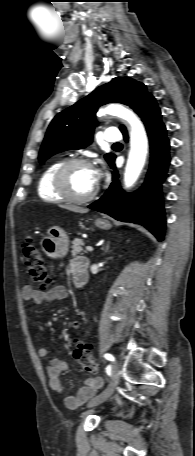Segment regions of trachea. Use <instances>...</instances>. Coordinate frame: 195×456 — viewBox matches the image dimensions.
I'll list each match as a JSON object with an SVG mask.
<instances>
[{
    "instance_id": "3493384b",
    "label": "trachea",
    "mask_w": 195,
    "mask_h": 456,
    "mask_svg": "<svg viewBox=\"0 0 195 456\" xmlns=\"http://www.w3.org/2000/svg\"><path fill=\"white\" fill-rule=\"evenodd\" d=\"M118 145H121V143H115L114 146H118Z\"/></svg>"
}]
</instances>
